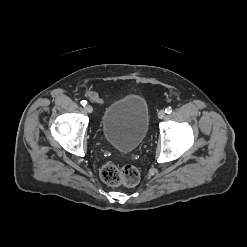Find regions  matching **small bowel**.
I'll use <instances>...</instances> for the list:
<instances>
[{"instance_id": "small-bowel-1", "label": "small bowel", "mask_w": 247, "mask_h": 247, "mask_svg": "<svg viewBox=\"0 0 247 247\" xmlns=\"http://www.w3.org/2000/svg\"><path fill=\"white\" fill-rule=\"evenodd\" d=\"M87 97L96 103L102 104L104 102V98L97 92L94 90H90L87 92Z\"/></svg>"}]
</instances>
